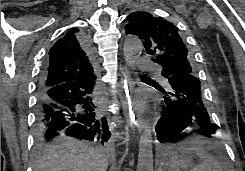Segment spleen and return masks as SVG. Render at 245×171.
<instances>
[{
	"instance_id": "spleen-1",
	"label": "spleen",
	"mask_w": 245,
	"mask_h": 171,
	"mask_svg": "<svg viewBox=\"0 0 245 171\" xmlns=\"http://www.w3.org/2000/svg\"><path fill=\"white\" fill-rule=\"evenodd\" d=\"M199 156L201 163L192 171H222L218 161L209 153L194 149L191 151Z\"/></svg>"
}]
</instances>
